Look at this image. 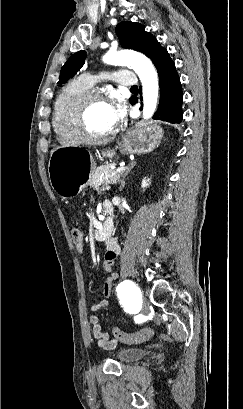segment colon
<instances>
[{
	"instance_id": "1",
	"label": "colon",
	"mask_w": 243,
	"mask_h": 409,
	"mask_svg": "<svg viewBox=\"0 0 243 409\" xmlns=\"http://www.w3.org/2000/svg\"><path fill=\"white\" fill-rule=\"evenodd\" d=\"M72 240L76 246V249L78 251H81L83 249V242H84V235L82 230L80 229H74L72 231ZM114 338H116L118 341L126 343V344H135L142 342L143 340L149 338L152 334V330L150 328H144L142 331H140L137 334L129 335L125 334L122 331H120L118 328L114 327L112 330Z\"/></svg>"
}]
</instances>
